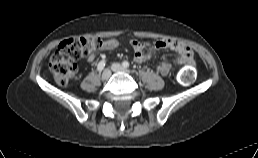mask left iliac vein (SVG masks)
Here are the masks:
<instances>
[{"label": "left iliac vein", "instance_id": "4c4485c4", "mask_svg": "<svg viewBox=\"0 0 258 158\" xmlns=\"http://www.w3.org/2000/svg\"><path fill=\"white\" fill-rule=\"evenodd\" d=\"M111 68L114 72L130 73V71L128 69H126L125 67H123L122 65H120L118 63H113Z\"/></svg>", "mask_w": 258, "mask_h": 158}]
</instances>
